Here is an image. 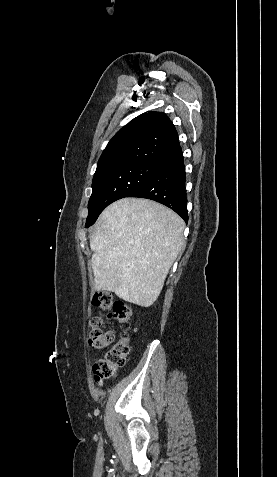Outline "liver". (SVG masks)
<instances>
[{
    "mask_svg": "<svg viewBox=\"0 0 277 477\" xmlns=\"http://www.w3.org/2000/svg\"><path fill=\"white\" fill-rule=\"evenodd\" d=\"M185 222L148 199L123 198L100 215L90 238L96 291L149 307L184 246Z\"/></svg>",
    "mask_w": 277,
    "mask_h": 477,
    "instance_id": "1",
    "label": "liver"
}]
</instances>
